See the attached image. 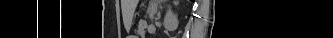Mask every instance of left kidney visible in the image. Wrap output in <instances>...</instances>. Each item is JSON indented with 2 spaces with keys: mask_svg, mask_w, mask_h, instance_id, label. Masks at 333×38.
I'll return each instance as SVG.
<instances>
[{
  "mask_svg": "<svg viewBox=\"0 0 333 38\" xmlns=\"http://www.w3.org/2000/svg\"><path fill=\"white\" fill-rule=\"evenodd\" d=\"M178 26V18L177 15L174 14L170 9L167 10L166 16L164 19V27L171 31L176 29Z\"/></svg>",
  "mask_w": 333,
  "mask_h": 38,
  "instance_id": "left-kidney-1",
  "label": "left kidney"
}]
</instances>
